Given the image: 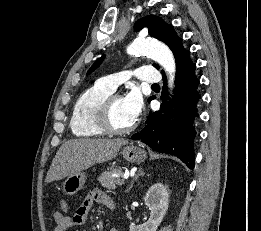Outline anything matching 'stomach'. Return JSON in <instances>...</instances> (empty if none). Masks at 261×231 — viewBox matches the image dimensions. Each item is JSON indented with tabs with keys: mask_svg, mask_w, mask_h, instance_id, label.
Returning <instances> with one entry per match:
<instances>
[{
	"mask_svg": "<svg viewBox=\"0 0 261 231\" xmlns=\"http://www.w3.org/2000/svg\"><path fill=\"white\" fill-rule=\"evenodd\" d=\"M121 155L123 158L131 163H140L146 159V152L137 146H126L122 149ZM86 181L84 172H78L67 177L63 184V191L67 195H74L80 191Z\"/></svg>",
	"mask_w": 261,
	"mask_h": 231,
	"instance_id": "0dacf381",
	"label": "stomach"
}]
</instances>
